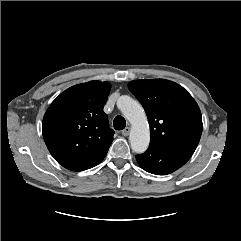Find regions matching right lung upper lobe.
<instances>
[{
  "label": "right lung upper lobe",
  "mask_w": 241,
  "mask_h": 241,
  "mask_svg": "<svg viewBox=\"0 0 241 241\" xmlns=\"http://www.w3.org/2000/svg\"><path fill=\"white\" fill-rule=\"evenodd\" d=\"M111 89L109 82L90 81L62 92L47 109L42 132L54 159L68 168L106 153L113 141L103 111Z\"/></svg>",
  "instance_id": "right-lung-upper-lobe-1"
}]
</instances>
